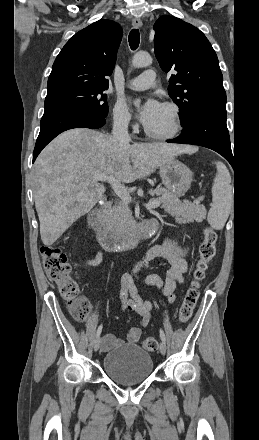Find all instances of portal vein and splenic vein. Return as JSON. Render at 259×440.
Instances as JSON below:
<instances>
[{
	"label": "portal vein and splenic vein",
	"mask_w": 259,
	"mask_h": 440,
	"mask_svg": "<svg viewBox=\"0 0 259 440\" xmlns=\"http://www.w3.org/2000/svg\"><path fill=\"white\" fill-rule=\"evenodd\" d=\"M93 179L97 181L109 182L114 192L118 197H120L121 200L126 201L128 203L131 202L132 199L128 190L119 181H117L115 177L99 174V175H95ZM159 206H160V202L158 200H150L149 203L145 204V207L148 210L155 209Z\"/></svg>",
	"instance_id": "1"
}]
</instances>
